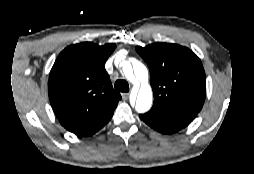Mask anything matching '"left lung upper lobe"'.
<instances>
[{"mask_svg": "<svg viewBox=\"0 0 254 174\" xmlns=\"http://www.w3.org/2000/svg\"><path fill=\"white\" fill-rule=\"evenodd\" d=\"M150 69L153 107L196 117L206 97V78L197 55L186 47L154 43L136 47Z\"/></svg>", "mask_w": 254, "mask_h": 174, "instance_id": "left-lung-upper-lobe-1", "label": "left lung upper lobe"}]
</instances>
